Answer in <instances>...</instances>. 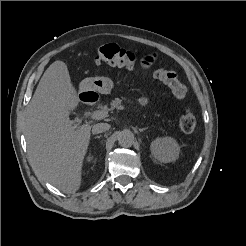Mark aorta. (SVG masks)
I'll return each mask as SVG.
<instances>
[{"instance_id": "obj_1", "label": "aorta", "mask_w": 246, "mask_h": 246, "mask_svg": "<svg viewBox=\"0 0 246 246\" xmlns=\"http://www.w3.org/2000/svg\"><path fill=\"white\" fill-rule=\"evenodd\" d=\"M118 143L123 147H131L134 143V134L130 130H123L118 133Z\"/></svg>"}]
</instances>
